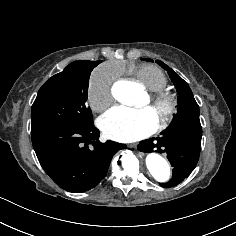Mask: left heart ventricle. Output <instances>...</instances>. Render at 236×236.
Returning <instances> with one entry per match:
<instances>
[{"label": "left heart ventricle", "instance_id": "1", "mask_svg": "<svg viewBox=\"0 0 236 236\" xmlns=\"http://www.w3.org/2000/svg\"><path fill=\"white\" fill-rule=\"evenodd\" d=\"M138 107H141V108H150V106H149V101L144 102L142 105H140V106H138ZM150 109H152V108H150ZM152 111L154 112L155 118L161 120V118H162V113L157 112V111L154 110V109H152Z\"/></svg>", "mask_w": 236, "mask_h": 236}]
</instances>
